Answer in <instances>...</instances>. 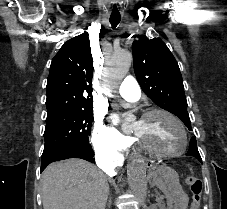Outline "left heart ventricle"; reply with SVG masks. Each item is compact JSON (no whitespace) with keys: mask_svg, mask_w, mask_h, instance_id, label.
I'll return each mask as SVG.
<instances>
[{"mask_svg":"<svg viewBox=\"0 0 227 209\" xmlns=\"http://www.w3.org/2000/svg\"><path fill=\"white\" fill-rule=\"evenodd\" d=\"M133 131L151 147L160 151H172L182 146L183 138L179 127L161 113L136 121Z\"/></svg>","mask_w":227,"mask_h":209,"instance_id":"left-heart-ventricle-1","label":"left heart ventricle"}]
</instances>
